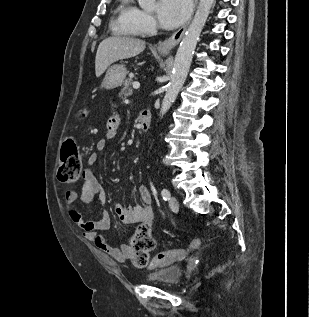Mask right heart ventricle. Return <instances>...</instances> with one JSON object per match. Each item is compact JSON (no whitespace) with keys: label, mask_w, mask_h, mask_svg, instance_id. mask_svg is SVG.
<instances>
[{"label":"right heart ventricle","mask_w":309,"mask_h":317,"mask_svg":"<svg viewBox=\"0 0 309 317\" xmlns=\"http://www.w3.org/2000/svg\"><path fill=\"white\" fill-rule=\"evenodd\" d=\"M137 13L138 9L130 0H120L114 22L119 33L127 36H138L140 34L139 28L135 22Z\"/></svg>","instance_id":"right-heart-ventricle-1"}]
</instances>
